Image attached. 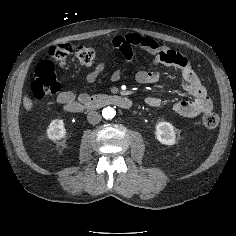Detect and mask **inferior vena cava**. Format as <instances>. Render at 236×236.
Instances as JSON below:
<instances>
[{"label": "inferior vena cava", "mask_w": 236, "mask_h": 236, "mask_svg": "<svg viewBox=\"0 0 236 236\" xmlns=\"http://www.w3.org/2000/svg\"><path fill=\"white\" fill-rule=\"evenodd\" d=\"M101 119V115L96 111L89 112L87 115V120L91 124H97L101 121Z\"/></svg>", "instance_id": "obj_1"}]
</instances>
